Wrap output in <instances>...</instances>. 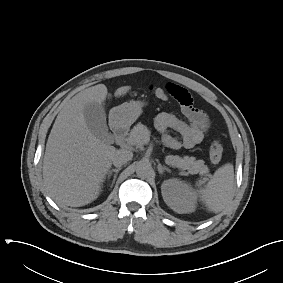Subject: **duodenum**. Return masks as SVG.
Wrapping results in <instances>:
<instances>
[{"mask_svg":"<svg viewBox=\"0 0 283 283\" xmlns=\"http://www.w3.org/2000/svg\"><path fill=\"white\" fill-rule=\"evenodd\" d=\"M112 131L114 138L118 144H121L124 142L127 133H128V127L121 122H114L112 126Z\"/></svg>","mask_w":283,"mask_h":283,"instance_id":"duodenum-1","label":"duodenum"}]
</instances>
